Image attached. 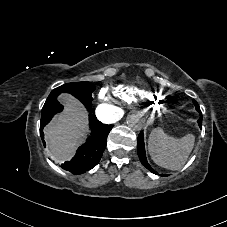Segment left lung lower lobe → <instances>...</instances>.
I'll use <instances>...</instances> for the list:
<instances>
[{
  "label": "left lung lower lobe",
  "mask_w": 227,
  "mask_h": 227,
  "mask_svg": "<svg viewBox=\"0 0 227 227\" xmlns=\"http://www.w3.org/2000/svg\"><path fill=\"white\" fill-rule=\"evenodd\" d=\"M199 127H202V120H198ZM137 151L139 158L141 160V163L152 173L157 174L156 171L152 169V167L148 164L147 158H146V152H145V146H144V136H143V131H141L138 135L137 138Z\"/></svg>",
  "instance_id": "1"
}]
</instances>
